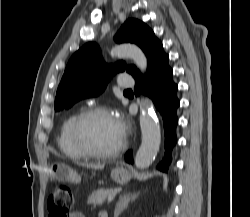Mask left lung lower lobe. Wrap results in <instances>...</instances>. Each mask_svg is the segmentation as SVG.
<instances>
[{
  "label": "left lung lower lobe",
  "instance_id": "left-lung-lower-lobe-1",
  "mask_svg": "<svg viewBox=\"0 0 250 217\" xmlns=\"http://www.w3.org/2000/svg\"><path fill=\"white\" fill-rule=\"evenodd\" d=\"M173 71L168 64V55L163 50V45L160 42L154 50V53L148 63V69L145 76L140 72L134 76L135 88L134 93L139 96L141 93L150 97L160 112L165 133V157L157 166L159 169L167 171L171 161L170 151L176 144V126L178 118L176 110L179 107L177 98L178 86L172 79ZM125 159L132 163V152L129 151Z\"/></svg>",
  "mask_w": 250,
  "mask_h": 217
}]
</instances>
